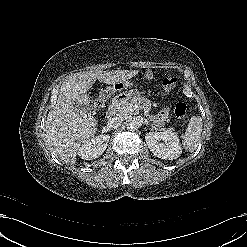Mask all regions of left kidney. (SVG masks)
Segmentation results:
<instances>
[{
	"label": "left kidney",
	"instance_id": "5707ae66",
	"mask_svg": "<svg viewBox=\"0 0 247 247\" xmlns=\"http://www.w3.org/2000/svg\"><path fill=\"white\" fill-rule=\"evenodd\" d=\"M150 151L158 158L173 160L182 153L178 134L171 130L149 132L145 136Z\"/></svg>",
	"mask_w": 247,
	"mask_h": 247
}]
</instances>
